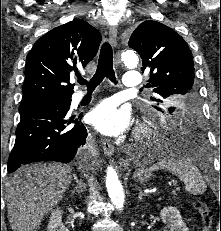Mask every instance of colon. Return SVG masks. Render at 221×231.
<instances>
[{"label":"colon","mask_w":221,"mask_h":231,"mask_svg":"<svg viewBox=\"0 0 221 231\" xmlns=\"http://www.w3.org/2000/svg\"><path fill=\"white\" fill-rule=\"evenodd\" d=\"M194 206H195L196 210L198 211V213L200 214V217L202 219L203 231H210L212 224H213L212 211L202 201H196L194 203Z\"/></svg>","instance_id":"5ec220e1"}]
</instances>
